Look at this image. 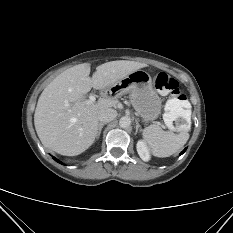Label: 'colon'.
Segmentation results:
<instances>
[{
    "instance_id": "obj_1",
    "label": "colon",
    "mask_w": 233,
    "mask_h": 233,
    "mask_svg": "<svg viewBox=\"0 0 233 233\" xmlns=\"http://www.w3.org/2000/svg\"><path fill=\"white\" fill-rule=\"evenodd\" d=\"M158 91L171 94L165 104L164 119L166 124L175 131L185 130L191 120V106L180 89L178 82L166 73H158L154 79Z\"/></svg>"
}]
</instances>
